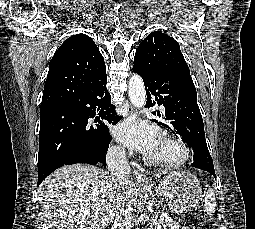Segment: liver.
Returning <instances> with one entry per match:
<instances>
[{"label": "liver", "instance_id": "liver-1", "mask_svg": "<svg viewBox=\"0 0 255 229\" xmlns=\"http://www.w3.org/2000/svg\"><path fill=\"white\" fill-rule=\"evenodd\" d=\"M119 194L134 204L138 190L132 180L120 189L107 171L73 164L41 183L38 202L51 229H102L114 219Z\"/></svg>", "mask_w": 255, "mask_h": 229}]
</instances>
